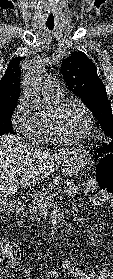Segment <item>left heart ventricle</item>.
Instances as JSON below:
<instances>
[{
  "label": "left heart ventricle",
  "mask_w": 113,
  "mask_h": 279,
  "mask_svg": "<svg viewBox=\"0 0 113 279\" xmlns=\"http://www.w3.org/2000/svg\"><path fill=\"white\" fill-rule=\"evenodd\" d=\"M53 115L50 112L49 117ZM59 132L68 137H77L85 133L88 121L83 110L76 104H70L53 117Z\"/></svg>",
  "instance_id": "obj_1"
}]
</instances>
